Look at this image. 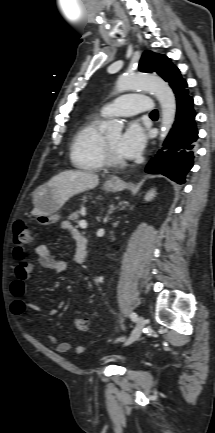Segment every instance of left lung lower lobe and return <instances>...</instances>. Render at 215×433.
I'll return each mask as SVG.
<instances>
[{"mask_svg":"<svg viewBox=\"0 0 215 433\" xmlns=\"http://www.w3.org/2000/svg\"><path fill=\"white\" fill-rule=\"evenodd\" d=\"M177 101L176 120L165 142L147 168V173L162 174L177 184L185 182L186 173L193 167L194 147L198 139L193 109V98L187 89V82L181 77L170 83Z\"/></svg>","mask_w":215,"mask_h":433,"instance_id":"obj_1","label":"left lung lower lobe"}]
</instances>
